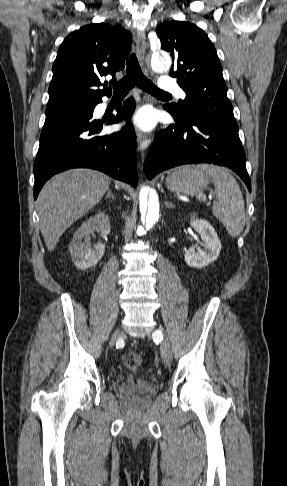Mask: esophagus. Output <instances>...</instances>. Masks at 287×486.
Segmentation results:
<instances>
[{
  "mask_svg": "<svg viewBox=\"0 0 287 486\" xmlns=\"http://www.w3.org/2000/svg\"><path fill=\"white\" fill-rule=\"evenodd\" d=\"M136 38H137L138 56H139V59H140L142 65L144 66V64H145V53H146L145 36L141 31H137L136 32ZM144 71L147 74L149 73V71L146 67H144ZM136 135H137L138 141H142V140L146 139L145 133H143L141 131H137Z\"/></svg>",
  "mask_w": 287,
  "mask_h": 486,
  "instance_id": "1",
  "label": "esophagus"
}]
</instances>
